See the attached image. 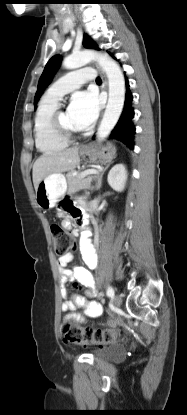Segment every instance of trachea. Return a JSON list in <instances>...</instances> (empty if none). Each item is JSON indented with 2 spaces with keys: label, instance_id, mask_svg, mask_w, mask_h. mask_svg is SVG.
Segmentation results:
<instances>
[{
  "label": "trachea",
  "instance_id": "3493384b",
  "mask_svg": "<svg viewBox=\"0 0 187 415\" xmlns=\"http://www.w3.org/2000/svg\"><path fill=\"white\" fill-rule=\"evenodd\" d=\"M96 82H101V78L97 77Z\"/></svg>",
  "mask_w": 187,
  "mask_h": 415
}]
</instances>
